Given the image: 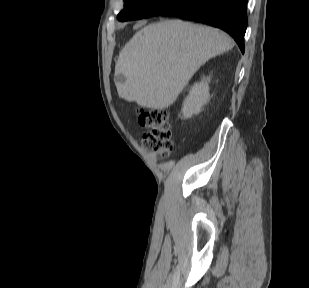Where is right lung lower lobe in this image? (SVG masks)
<instances>
[{
	"label": "right lung lower lobe",
	"instance_id": "right-lung-lower-lobe-1",
	"mask_svg": "<svg viewBox=\"0 0 309 288\" xmlns=\"http://www.w3.org/2000/svg\"><path fill=\"white\" fill-rule=\"evenodd\" d=\"M247 2L248 0H166L145 18L177 16L221 28L234 38L244 53Z\"/></svg>",
	"mask_w": 309,
	"mask_h": 288
}]
</instances>
